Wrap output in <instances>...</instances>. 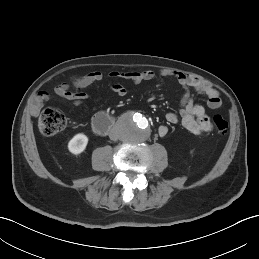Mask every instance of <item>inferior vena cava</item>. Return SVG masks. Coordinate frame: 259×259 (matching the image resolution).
Wrapping results in <instances>:
<instances>
[{
  "label": "inferior vena cava",
  "instance_id": "1",
  "mask_svg": "<svg viewBox=\"0 0 259 259\" xmlns=\"http://www.w3.org/2000/svg\"><path fill=\"white\" fill-rule=\"evenodd\" d=\"M109 137L111 140H117L119 138V134L116 131H112Z\"/></svg>",
  "mask_w": 259,
  "mask_h": 259
}]
</instances>
